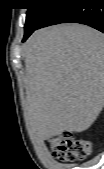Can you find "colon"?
I'll list each match as a JSON object with an SVG mask.
<instances>
[{
    "mask_svg": "<svg viewBox=\"0 0 104 169\" xmlns=\"http://www.w3.org/2000/svg\"><path fill=\"white\" fill-rule=\"evenodd\" d=\"M50 143L54 157L65 162L84 159L91 151L89 140L75 138L70 132L52 138Z\"/></svg>",
    "mask_w": 104,
    "mask_h": 169,
    "instance_id": "5ec220e1",
    "label": "colon"
}]
</instances>
